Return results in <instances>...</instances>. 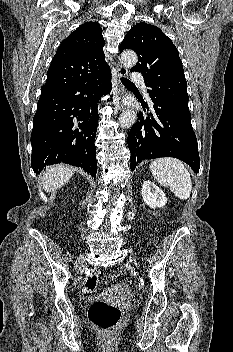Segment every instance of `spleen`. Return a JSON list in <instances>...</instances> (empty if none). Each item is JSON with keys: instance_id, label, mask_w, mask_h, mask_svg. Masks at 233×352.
I'll use <instances>...</instances> for the list:
<instances>
[{"instance_id": "obj_1", "label": "spleen", "mask_w": 233, "mask_h": 352, "mask_svg": "<svg viewBox=\"0 0 233 352\" xmlns=\"http://www.w3.org/2000/svg\"><path fill=\"white\" fill-rule=\"evenodd\" d=\"M154 178L162 185L169 186L172 193L181 200L190 197L192 181L184 163L175 158H159L150 164Z\"/></svg>"}]
</instances>
